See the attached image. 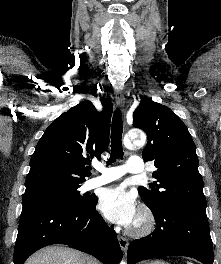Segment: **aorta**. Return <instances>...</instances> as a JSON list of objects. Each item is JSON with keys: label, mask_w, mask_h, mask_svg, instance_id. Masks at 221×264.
I'll return each mask as SVG.
<instances>
[{"label": "aorta", "mask_w": 221, "mask_h": 264, "mask_svg": "<svg viewBox=\"0 0 221 264\" xmlns=\"http://www.w3.org/2000/svg\"><path fill=\"white\" fill-rule=\"evenodd\" d=\"M145 136L144 135H140L139 137H134V144L137 146H141L145 143ZM125 145L128 147L130 145L129 140L125 141ZM121 264H126L125 261H122Z\"/></svg>", "instance_id": "1"}]
</instances>
